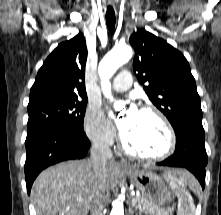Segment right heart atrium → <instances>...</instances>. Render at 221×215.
Listing matches in <instances>:
<instances>
[{
  "mask_svg": "<svg viewBox=\"0 0 221 215\" xmlns=\"http://www.w3.org/2000/svg\"><path fill=\"white\" fill-rule=\"evenodd\" d=\"M84 131L94 143L110 145L115 139V129L105 118L99 105H89L84 117Z\"/></svg>",
  "mask_w": 221,
  "mask_h": 215,
  "instance_id": "right-heart-atrium-1",
  "label": "right heart atrium"
}]
</instances>
